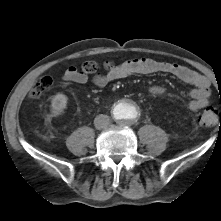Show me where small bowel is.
<instances>
[{
  "instance_id": "c3829d8e",
  "label": "small bowel",
  "mask_w": 221,
  "mask_h": 221,
  "mask_svg": "<svg viewBox=\"0 0 221 221\" xmlns=\"http://www.w3.org/2000/svg\"><path fill=\"white\" fill-rule=\"evenodd\" d=\"M155 73L169 74L182 82L192 85L188 108L191 111H199L209 105L210 81L203 75L182 65L159 62L147 58L128 59L115 66L105 74H99L92 78L97 87H105L112 81L129 77L131 75H147ZM89 77L75 67H69L63 74L64 82L83 84ZM149 92L154 95H163L166 90L162 86H152Z\"/></svg>"
}]
</instances>
